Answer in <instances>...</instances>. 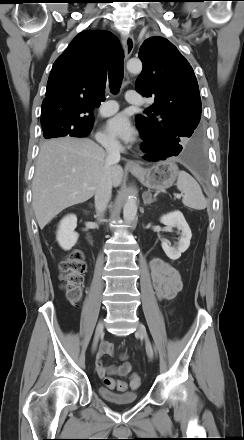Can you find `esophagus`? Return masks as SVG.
<instances>
[{"instance_id": "34e87169", "label": "esophagus", "mask_w": 244, "mask_h": 440, "mask_svg": "<svg viewBox=\"0 0 244 440\" xmlns=\"http://www.w3.org/2000/svg\"><path fill=\"white\" fill-rule=\"evenodd\" d=\"M122 44H123V48H124V56H125V60H127L135 47V41L134 38L131 34H126L122 36ZM126 166L129 168H134V169H138L140 166L139 164H137L134 161H128L126 163Z\"/></svg>"}]
</instances>
